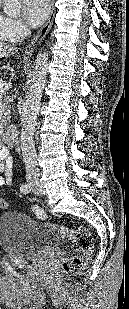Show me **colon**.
I'll return each instance as SVG.
<instances>
[{
  "instance_id": "obj_1",
  "label": "colon",
  "mask_w": 129,
  "mask_h": 309,
  "mask_svg": "<svg viewBox=\"0 0 129 309\" xmlns=\"http://www.w3.org/2000/svg\"><path fill=\"white\" fill-rule=\"evenodd\" d=\"M7 203L0 198V209L6 208ZM39 218H44L45 213L41 209L36 210ZM51 228L65 239L72 242V249L76 255L66 258L61 263L63 274H72L82 270L88 263L93 250V239L86 227L66 228L60 225L51 224Z\"/></svg>"
}]
</instances>
